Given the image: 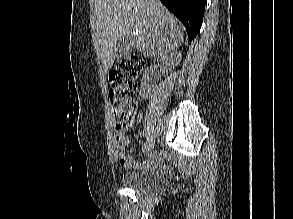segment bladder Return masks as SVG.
<instances>
[{"instance_id": "31cf9c89", "label": "bladder", "mask_w": 293, "mask_h": 219, "mask_svg": "<svg viewBox=\"0 0 293 219\" xmlns=\"http://www.w3.org/2000/svg\"><path fill=\"white\" fill-rule=\"evenodd\" d=\"M122 184L139 192H157L166 186V178L159 172L150 169H139L124 173Z\"/></svg>"}]
</instances>
